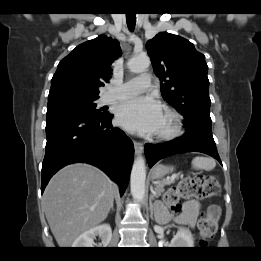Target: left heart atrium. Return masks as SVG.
I'll return each instance as SVG.
<instances>
[{"mask_svg":"<svg viewBox=\"0 0 261 261\" xmlns=\"http://www.w3.org/2000/svg\"><path fill=\"white\" fill-rule=\"evenodd\" d=\"M116 115L121 127L142 135L160 132L165 117L161 103L152 96H136L122 101Z\"/></svg>","mask_w":261,"mask_h":261,"instance_id":"1","label":"left heart atrium"}]
</instances>
